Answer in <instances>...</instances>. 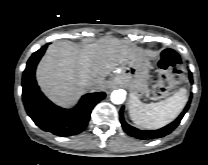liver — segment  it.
Instances as JSON below:
<instances>
[{"label": "liver", "mask_w": 208, "mask_h": 165, "mask_svg": "<svg viewBox=\"0 0 208 165\" xmlns=\"http://www.w3.org/2000/svg\"><path fill=\"white\" fill-rule=\"evenodd\" d=\"M138 54L124 41L101 38L95 43L78 46L57 41L49 46L40 61L36 78L43 92L60 106L74 103L94 83L104 90L105 77L122 63Z\"/></svg>", "instance_id": "6515ba94"}]
</instances>
